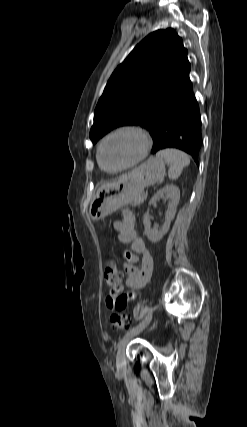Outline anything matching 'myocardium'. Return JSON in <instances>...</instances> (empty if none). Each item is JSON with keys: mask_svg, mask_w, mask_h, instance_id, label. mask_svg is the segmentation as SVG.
Here are the masks:
<instances>
[{"mask_svg": "<svg viewBox=\"0 0 247 427\" xmlns=\"http://www.w3.org/2000/svg\"><path fill=\"white\" fill-rule=\"evenodd\" d=\"M122 132H133V133L137 134L142 140V150H141L139 156L135 160L130 162L129 164H127L121 168L115 169V170H109L103 165L102 158H101L102 149H103L105 143L109 139H111L115 135L122 133ZM151 145H152V139H151L150 134L148 133V131L146 129H144L141 126L133 125V124L121 125L115 129H113L111 132H109L102 139V141L99 144L98 151H97V160H98L100 167L104 171H106L108 173H118V172L127 170V169L139 164L141 161H143L146 158V156L148 155L150 148H151Z\"/></svg>", "mask_w": 247, "mask_h": 427, "instance_id": "1", "label": "myocardium"}]
</instances>
